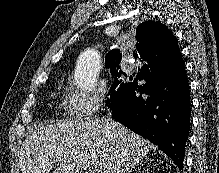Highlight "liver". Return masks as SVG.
<instances>
[{
	"mask_svg": "<svg viewBox=\"0 0 219 173\" xmlns=\"http://www.w3.org/2000/svg\"><path fill=\"white\" fill-rule=\"evenodd\" d=\"M152 148L118 122L96 116L32 127L22 143L19 164L22 173H126Z\"/></svg>",
	"mask_w": 219,
	"mask_h": 173,
	"instance_id": "1",
	"label": "liver"
}]
</instances>
